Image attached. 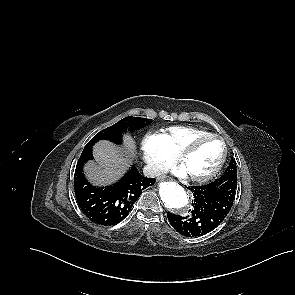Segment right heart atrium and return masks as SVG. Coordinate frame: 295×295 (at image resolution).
<instances>
[{
	"mask_svg": "<svg viewBox=\"0 0 295 295\" xmlns=\"http://www.w3.org/2000/svg\"><path fill=\"white\" fill-rule=\"evenodd\" d=\"M143 159L149 171L155 175H160L176 159L162 144L157 133L147 134L141 145Z\"/></svg>",
	"mask_w": 295,
	"mask_h": 295,
	"instance_id": "d8ad5b80",
	"label": "right heart atrium"
}]
</instances>
